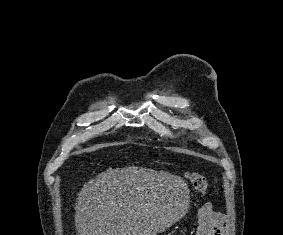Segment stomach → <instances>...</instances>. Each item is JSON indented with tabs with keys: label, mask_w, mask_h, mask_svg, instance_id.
<instances>
[{
	"label": "stomach",
	"mask_w": 283,
	"mask_h": 235,
	"mask_svg": "<svg viewBox=\"0 0 283 235\" xmlns=\"http://www.w3.org/2000/svg\"><path fill=\"white\" fill-rule=\"evenodd\" d=\"M179 204H180V206H179V210L180 211L186 210L187 209V197L186 196H181ZM164 231H165V229L162 228L161 232H164Z\"/></svg>",
	"instance_id": "0dacf381"
}]
</instances>
